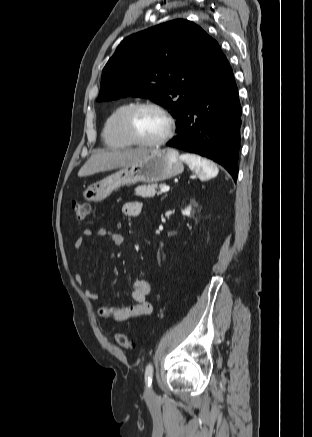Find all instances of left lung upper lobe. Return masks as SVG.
Returning <instances> with one entry per match:
<instances>
[{"label":"left lung upper lobe","instance_id":"1","mask_svg":"<svg viewBox=\"0 0 312 437\" xmlns=\"http://www.w3.org/2000/svg\"><path fill=\"white\" fill-rule=\"evenodd\" d=\"M223 58L218 43L193 22L159 24L120 43L102 71L97 101L149 98L179 122Z\"/></svg>","mask_w":312,"mask_h":437}]
</instances>
